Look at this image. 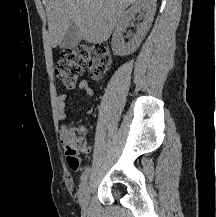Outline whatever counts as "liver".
Returning a JSON list of instances; mask_svg holds the SVG:
<instances>
[{"mask_svg":"<svg viewBox=\"0 0 216 217\" xmlns=\"http://www.w3.org/2000/svg\"><path fill=\"white\" fill-rule=\"evenodd\" d=\"M136 0H47L48 30L56 47L71 23L83 40L101 44L107 41L123 11Z\"/></svg>","mask_w":216,"mask_h":217,"instance_id":"liver-1","label":"liver"}]
</instances>
